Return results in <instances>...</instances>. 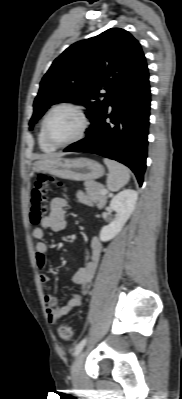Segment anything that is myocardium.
<instances>
[{"label": "myocardium", "mask_w": 182, "mask_h": 399, "mask_svg": "<svg viewBox=\"0 0 182 399\" xmlns=\"http://www.w3.org/2000/svg\"><path fill=\"white\" fill-rule=\"evenodd\" d=\"M63 108H67V109H71L74 110L80 117L81 119V128L78 132V134L73 137L70 140H67L65 142H56L54 141L48 134V121L49 118L51 117V115L56 112L59 109H63ZM90 122H89V118L88 115L86 114L85 110L83 109V107H81L80 105L76 104V103H72V102H63L60 104L55 105L54 107H52L48 113L45 115L43 122H42V133H43V137L46 140V142L48 144H50L51 146L55 147V148H60V147H65L71 144H74L78 141H80L86 134L88 128H89Z\"/></svg>", "instance_id": "1"}]
</instances>
